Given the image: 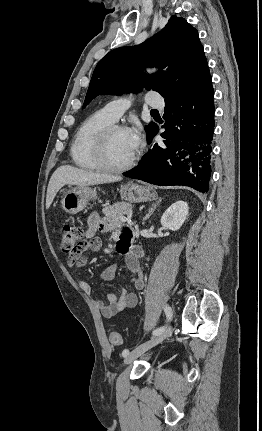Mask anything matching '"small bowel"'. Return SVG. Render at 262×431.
Returning a JSON list of instances; mask_svg holds the SVG:
<instances>
[{
    "instance_id": "1",
    "label": "small bowel",
    "mask_w": 262,
    "mask_h": 431,
    "mask_svg": "<svg viewBox=\"0 0 262 431\" xmlns=\"http://www.w3.org/2000/svg\"><path fill=\"white\" fill-rule=\"evenodd\" d=\"M108 232L111 231L120 240L119 248H127L125 256V265L131 274V286L136 290H142L145 286L143 278V266L141 258L143 251L137 245H131L133 238V229L121 224H114L107 219H103L97 213H93L88 218V229L86 231V238L96 237V231ZM121 245H123L121 247ZM101 248V243L98 240L97 244L91 246L88 251L96 252ZM87 258L84 253L78 256H70L67 259V264L70 267L82 266L86 263ZM116 267L112 266L102 273L105 280H110L114 276ZM78 287L84 293L91 292V285L86 281L78 278ZM138 303V296L136 293L129 291L127 288L122 287L119 291L109 292L107 294V302L97 301V306L104 318H112L118 312L125 308H133Z\"/></svg>"
}]
</instances>
